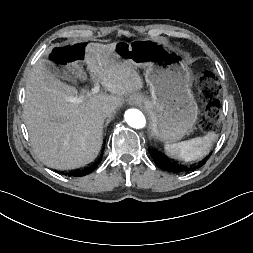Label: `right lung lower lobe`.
Instances as JSON below:
<instances>
[{
    "instance_id": "1",
    "label": "right lung lower lobe",
    "mask_w": 253,
    "mask_h": 253,
    "mask_svg": "<svg viewBox=\"0 0 253 253\" xmlns=\"http://www.w3.org/2000/svg\"><path fill=\"white\" fill-rule=\"evenodd\" d=\"M94 169H95V167L87 170L86 172H75V173H73L72 176H84V175L91 173Z\"/></svg>"
}]
</instances>
